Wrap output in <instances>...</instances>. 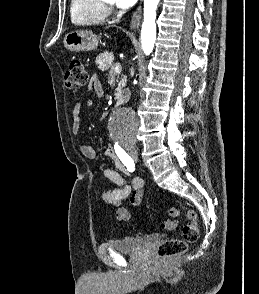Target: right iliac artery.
<instances>
[{"mask_svg":"<svg viewBox=\"0 0 259 294\" xmlns=\"http://www.w3.org/2000/svg\"><path fill=\"white\" fill-rule=\"evenodd\" d=\"M114 148L117 156L122 161V163L127 167L130 172H133L135 170L133 159L117 143L115 144Z\"/></svg>","mask_w":259,"mask_h":294,"instance_id":"82829eb1","label":"right iliac artery"}]
</instances>
